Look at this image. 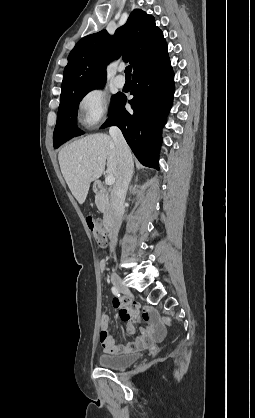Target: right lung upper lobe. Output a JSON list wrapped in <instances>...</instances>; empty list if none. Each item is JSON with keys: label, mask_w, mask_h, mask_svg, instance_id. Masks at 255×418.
I'll return each instance as SVG.
<instances>
[{"label": "right lung upper lobe", "mask_w": 255, "mask_h": 418, "mask_svg": "<svg viewBox=\"0 0 255 418\" xmlns=\"http://www.w3.org/2000/svg\"><path fill=\"white\" fill-rule=\"evenodd\" d=\"M121 55L132 64L133 75L168 56L153 16L135 9L113 36L102 30L78 41L68 56L61 93L105 83L107 64Z\"/></svg>", "instance_id": "right-lung-upper-lobe-1"}]
</instances>
